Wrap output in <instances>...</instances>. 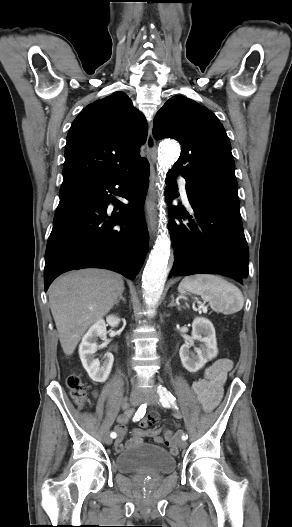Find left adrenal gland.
Segmentation results:
<instances>
[{
    "instance_id": "left-adrenal-gland-1",
    "label": "left adrenal gland",
    "mask_w": 292,
    "mask_h": 527,
    "mask_svg": "<svg viewBox=\"0 0 292 527\" xmlns=\"http://www.w3.org/2000/svg\"><path fill=\"white\" fill-rule=\"evenodd\" d=\"M174 306H176L177 309L180 310V306L175 302L174 296L171 295V302H170V304L168 305V307H174Z\"/></svg>"
}]
</instances>
